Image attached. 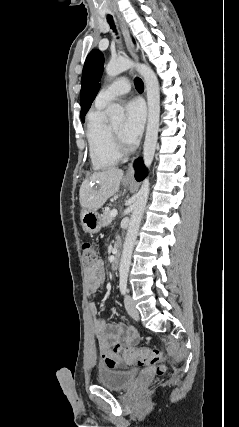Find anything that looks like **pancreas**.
I'll list each match as a JSON object with an SVG mask.
<instances>
[{
    "label": "pancreas",
    "mask_w": 239,
    "mask_h": 427,
    "mask_svg": "<svg viewBox=\"0 0 239 427\" xmlns=\"http://www.w3.org/2000/svg\"><path fill=\"white\" fill-rule=\"evenodd\" d=\"M113 217H111V211L105 210L102 214V223L103 226H108L111 224Z\"/></svg>",
    "instance_id": "obj_1"
}]
</instances>
